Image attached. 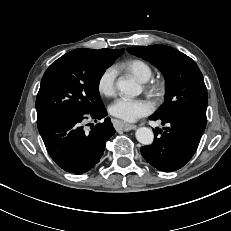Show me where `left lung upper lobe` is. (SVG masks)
Here are the masks:
<instances>
[{"label":"left lung upper lobe","mask_w":231,"mask_h":231,"mask_svg":"<svg viewBox=\"0 0 231 231\" xmlns=\"http://www.w3.org/2000/svg\"><path fill=\"white\" fill-rule=\"evenodd\" d=\"M127 51L149 61L165 77V102L153 115H187L206 121L207 89L194 60L166 45L130 47Z\"/></svg>","instance_id":"5c2ea615"}]
</instances>
